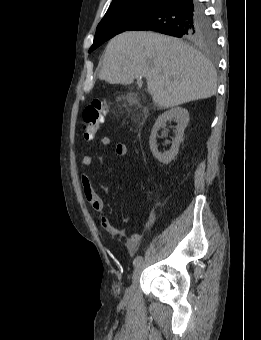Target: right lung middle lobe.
Masks as SVG:
<instances>
[{
	"mask_svg": "<svg viewBox=\"0 0 261 340\" xmlns=\"http://www.w3.org/2000/svg\"><path fill=\"white\" fill-rule=\"evenodd\" d=\"M160 1H136L111 7L97 26L94 42L89 52L99 47L113 36L127 31L143 16L155 9ZM184 39L212 47L215 44V33L211 21L203 15L196 23L184 31Z\"/></svg>",
	"mask_w": 261,
	"mask_h": 340,
	"instance_id": "dd1d6c3e",
	"label": "right lung middle lobe"
}]
</instances>
